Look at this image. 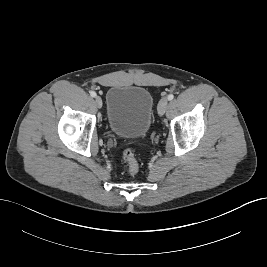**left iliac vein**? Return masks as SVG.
<instances>
[{
    "mask_svg": "<svg viewBox=\"0 0 267 267\" xmlns=\"http://www.w3.org/2000/svg\"><path fill=\"white\" fill-rule=\"evenodd\" d=\"M167 105H168V100L167 98H162L160 101H159V104H158V114L159 115H163L166 111V108H167Z\"/></svg>",
    "mask_w": 267,
    "mask_h": 267,
    "instance_id": "1",
    "label": "left iliac vein"
}]
</instances>
